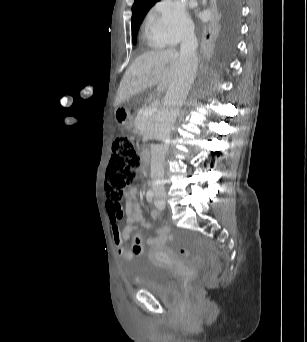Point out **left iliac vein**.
I'll return each mask as SVG.
<instances>
[{
	"label": "left iliac vein",
	"instance_id": "4c4485c4",
	"mask_svg": "<svg viewBox=\"0 0 307 342\" xmlns=\"http://www.w3.org/2000/svg\"><path fill=\"white\" fill-rule=\"evenodd\" d=\"M155 206H156L159 210H162V209H164V207H165V202L156 199V200H155Z\"/></svg>",
	"mask_w": 307,
	"mask_h": 342
}]
</instances>
